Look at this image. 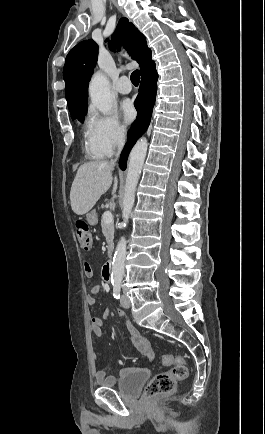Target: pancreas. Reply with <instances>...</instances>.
<instances>
[{"label": "pancreas", "mask_w": 265, "mask_h": 434, "mask_svg": "<svg viewBox=\"0 0 265 434\" xmlns=\"http://www.w3.org/2000/svg\"><path fill=\"white\" fill-rule=\"evenodd\" d=\"M102 232L106 238V242L108 244V254H110L114 244V224H105V222H101Z\"/></svg>", "instance_id": "cf45deb5"}]
</instances>
